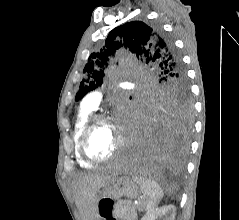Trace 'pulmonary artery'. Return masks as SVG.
I'll return each mask as SVG.
<instances>
[{
  "label": "pulmonary artery",
  "mask_w": 239,
  "mask_h": 220,
  "mask_svg": "<svg viewBox=\"0 0 239 220\" xmlns=\"http://www.w3.org/2000/svg\"><path fill=\"white\" fill-rule=\"evenodd\" d=\"M101 92L100 91H93L89 93L82 101V107L89 109V110H94L97 108L101 101Z\"/></svg>",
  "instance_id": "e3ab8cb5"
}]
</instances>
